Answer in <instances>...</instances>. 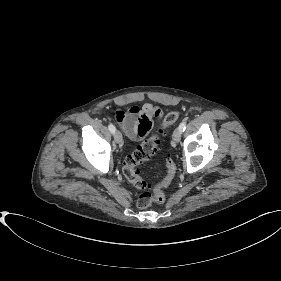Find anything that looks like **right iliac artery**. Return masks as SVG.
<instances>
[{
  "mask_svg": "<svg viewBox=\"0 0 281 281\" xmlns=\"http://www.w3.org/2000/svg\"><path fill=\"white\" fill-rule=\"evenodd\" d=\"M108 128H109L111 133H114L115 130H116V128H115V126L113 124H109Z\"/></svg>",
  "mask_w": 281,
  "mask_h": 281,
  "instance_id": "1",
  "label": "right iliac artery"
}]
</instances>
